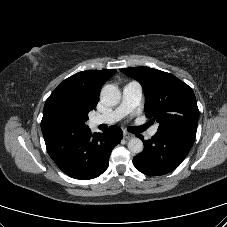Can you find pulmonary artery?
I'll return each mask as SVG.
<instances>
[{
	"label": "pulmonary artery",
	"instance_id": "e3ab8cb5",
	"mask_svg": "<svg viewBox=\"0 0 227 227\" xmlns=\"http://www.w3.org/2000/svg\"><path fill=\"white\" fill-rule=\"evenodd\" d=\"M141 98V86L137 82H129L123 87L122 100L119 106L112 111L94 116L90 122L93 126L117 122L124 116L132 113L139 105ZM157 130V126L152 127L149 131V135L154 136L157 133Z\"/></svg>",
	"mask_w": 227,
	"mask_h": 227
}]
</instances>
